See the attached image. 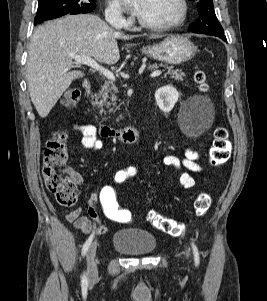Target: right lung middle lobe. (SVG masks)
Listing matches in <instances>:
<instances>
[{"mask_svg":"<svg viewBox=\"0 0 267 301\" xmlns=\"http://www.w3.org/2000/svg\"><path fill=\"white\" fill-rule=\"evenodd\" d=\"M35 24L66 14L89 13L95 7V0H38Z\"/></svg>","mask_w":267,"mask_h":301,"instance_id":"obj_1","label":"right lung middle lobe"}]
</instances>
